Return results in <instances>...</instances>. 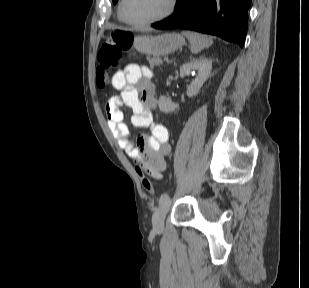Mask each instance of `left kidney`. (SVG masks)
I'll return each instance as SVG.
<instances>
[{
  "instance_id": "obj_1",
  "label": "left kidney",
  "mask_w": 309,
  "mask_h": 288,
  "mask_svg": "<svg viewBox=\"0 0 309 288\" xmlns=\"http://www.w3.org/2000/svg\"><path fill=\"white\" fill-rule=\"evenodd\" d=\"M212 69V60L205 57H200L198 59L192 60L190 62L184 63L180 67V76L185 77L186 75L193 74L198 71L197 76L192 80V82L187 86V96H196L205 81L208 79ZM160 111L164 113H169L176 110L179 105L173 103L170 99L165 96H160L158 101Z\"/></svg>"
}]
</instances>
